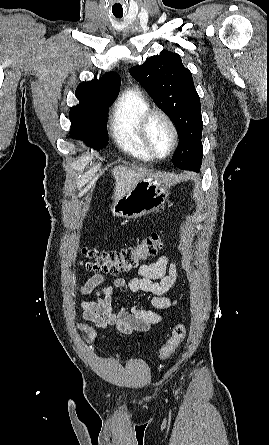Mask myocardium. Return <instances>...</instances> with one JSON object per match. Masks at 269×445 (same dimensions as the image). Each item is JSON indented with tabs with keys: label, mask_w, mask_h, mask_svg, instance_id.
Returning <instances> with one entry per match:
<instances>
[{
	"label": "myocardium",
	"mask_w": 269,
	"mask_h": 445,
	"mask_svg": "<svg viewBox=\"0 0 269 445\" xmlns=\"http://www.w3.org/2000/svg\"><path fill=\"white\" fill-rule=\"evenodd\" d=\"M159 116L161 118H163L166 123L168 124V126L170 127L171 133H172V144L170 149L168 150V152L164 155H160L156 152V150L154 149V147L152 146L149 137H148V127L149 124L151 122V120L156 117ZM139 132H140V137L142 139V142L144 144V146L147 148V150L152 154V156L156 159H165L167 157H169L176 149L177 145H178V141H179V133H178V129L176 126V123L174 122V120L172 119V117L165 112L164 110L161 109H150L149 111H147L141 121H140V127H139Z\"/></svg>",
	"instance_id": "1"
}]
</instances>
